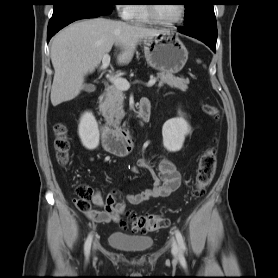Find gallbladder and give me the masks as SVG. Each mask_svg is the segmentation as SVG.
<instances>
[{
    "instance_id": "gallbladder-1",
    "label": "gallbladder",
    "mask_w": 278,
    "mask_h": 278,
    "mask_svg": "<svg viewBox=\"0 0 278 278\" xmlns=\"http://www.w3.org/2000/svg\"><path fill=\"white\" fill-rule=\"evenodd\" d=\"M94 85H92V84H88V85H85L84 86V90L86 91V92H88V93H91L93 90H94Z\"/></svg>"
}]
</instances>
